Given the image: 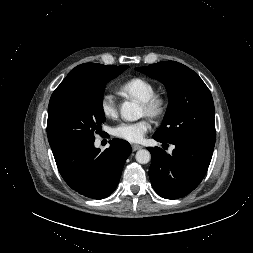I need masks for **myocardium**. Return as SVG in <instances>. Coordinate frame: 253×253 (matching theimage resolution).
I'll return each mask as SVG.
<instances>
[{"instance_id":"f54148a6","label":"myocardium","mask_w":253,"mask_h":253,"mask_svg":"<svg viewBox=\"0 0 253 253\" xmlns=\"http://www.w3.org/2000/svg\"><path fill=\"white\" fill-rule=\"evenodd\" d=\"M142 106L145 109L146 115L158 119L165 114L168 100L164 94L154 93L151 97L142 102Z\"/></svg>"}]
</instances>
